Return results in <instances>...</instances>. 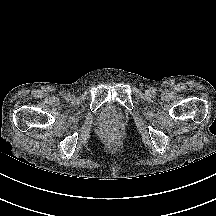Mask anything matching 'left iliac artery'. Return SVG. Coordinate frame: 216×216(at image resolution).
I'll list each match as a JSON object with an SVG mask.
<instances>
[{"mask_svg": "<svg viewBox=\"0 0 216 216\" xmlns=\"http://www.w3.org/2000/svg\"><path fill=\"white\" fill-rule=\"evenodd\" d=\"M155 93H156V89L152 88V94H155Z\"/></svg>", "mask_w": 216, "mask_h": 216, "instance_id": "left-iliac-artery-1", "label": "left iliac artery"}]
</instances>
